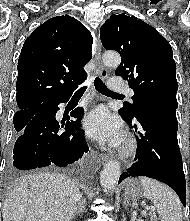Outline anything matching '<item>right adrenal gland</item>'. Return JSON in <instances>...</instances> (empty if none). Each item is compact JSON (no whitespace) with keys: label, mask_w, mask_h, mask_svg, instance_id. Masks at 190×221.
I'll use <instances>...</instances> for the list:
<instances>
[{"label":"right adrenal gland","mask_w":190,"mask_h":221,"mask_svg":"<svg viewBox=\"0 0 190 221\" xmlns=\"http://www.w3.org/2000/svg\"><path fill=\"white\" fill-rule=\"evenodd\" d=\"M85 209V200L84 199H79L77 206L75 207L74 213L71 217V219L75 218V215H80L84 212Z\"/></svg>","instance_id":"2a0ac1e0"}]
</instances>
